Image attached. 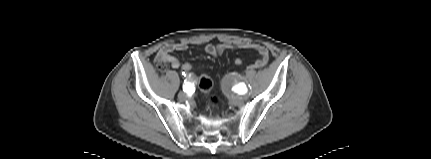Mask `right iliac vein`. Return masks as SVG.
Wrapping results in <instances>:
<instances>
[{
    "mask_svg": "<svg viewBox=\"0 0 431 159\" xmlns=\"http://www.w3.org/2000/svg\"><path fill=\"white\" fill-rule=\"evenodd\" d=\"M187 94L185 93V92H180L179 94H178V98L180 99V100H186L187 99Z\"/></svg>",
    "mask_w": 431,
    "mask_h": 159,
    "instance_id": "63e3f726",
    "label": "right iliac vein"
}]
</instances>
